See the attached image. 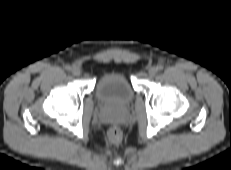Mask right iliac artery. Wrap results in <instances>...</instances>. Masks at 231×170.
Wrapping results in <instances>:
<instances>
[{"label": "right iliac artery", "instance_id": "obj_1", "mask_svg": "<svg viewBox=\"0 0 231 170\" xmlns=\"http://www.w3.org/2000/svg\"><path fill=\"white\" fill-rule=\"evenodd\" d=\"M65 69H66L67 71H70V70H71V66H70V65H67V66L65 67Z\"/></svg>", "mask_w": 231, "mask_h": 170}]
</instances>
